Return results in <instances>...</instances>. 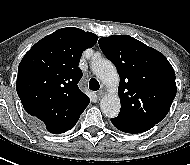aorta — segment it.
<instances>
[{"instance_id": "1", "label": "aorta", "mask_w": 190, "mask_h": 165, "mask_svg": "<svg viewBox=\"0 0 190 165\" xmlns=\"http://www.w3.org/2000/svg\"><path fill=\"white\" fill-rule=\"evenodd\" d=\"M93 73L108 87L116 88L119 75L113 63L108 59L98 58L91 64ZM120 99L116 91L106 94L100 101L101 111L108 118L116 117L120 112Z\"/></svg>"}]
</instances>
